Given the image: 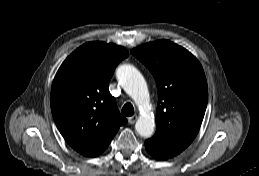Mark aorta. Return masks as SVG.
Segmentation results:
<instances>
[{"instance_id": "obj_1", "label": "aorta", "mask_w": 259, "mask_h": 176, "mask_svg": "<svg viewBox=\"0 0 259 176\" xmlns=\"http://www.w3.org/2000/svg\"><path fill=\"white\" fill-rule=\"evenodd\" d=\"M116 76L125 92L134 100L140 109L149 105V92L142 74L132 65H121L116 71ZM137 133L145 138L153 135L155 122L150 113H145L135 124Z\"/></svg>"}]
</instances>
